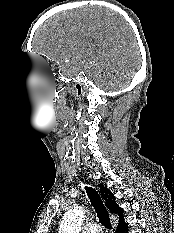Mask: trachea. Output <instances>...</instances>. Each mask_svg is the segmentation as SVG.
I'll return each mask as SVG.
<instances>
[{"mask_svg": "<svg viewBox=\"0 0 174 233\" xmlns=\"http://www.w3.org/2000/svg\"><path fill=\"white\" fill-rule=\"evenodd\" d=\"M85 188H86V193L90 199V202L97 213V216L99 218L100 223L105 228L111 229L112 226H111V222H110L109 213H108L100 195L92 187H85Z\"/></svg>", "mask_w": 174, "mask_h": 233, "instance_id": "3493384b", "label": "trachea"}]
</instances>
